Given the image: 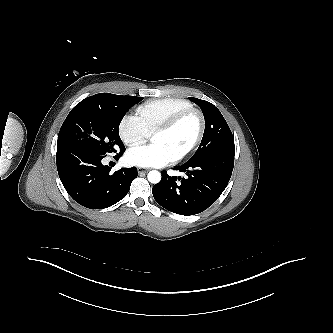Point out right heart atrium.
Masks as SVG:
<instances>
[{
  "instance_id": "1",
  "label": "right heart atrium",
  "mask_w": 333,
  "mask_h": 333,
  "mask_svg": "<svg viewBox=\"0 0 333 333\" xmlns=\"http://www.w3.org/2000/svg\"><path fill=\"white\" fill-rule=\"evenodd\" d=\"M118 133L125 145L133 147L147 140L150 133L137 115L126 114L118 126Z\"/></svg>"
}]
</instances>
